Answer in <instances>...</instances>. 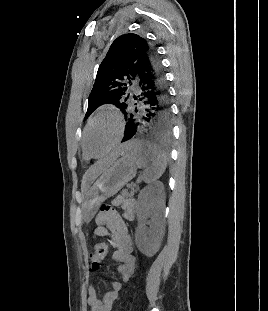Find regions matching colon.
Returning <instances> with one entry per match:
<instances>
[{
	"label": "colon",
	"instance_id": "5ec220e1",
	"mask_svg": "<svg viewBox=\"0 0 268 311\" xmlns=\"http://www.w3.org/2000/svg\"><path fill=\"white\" fill-rule=\"evenodd\" d=\"M108 248H109L108 243L101 242L97 244L93 252L90 253L91 267L94 271L99 269L100 264L106 258L107 253H108Z\"/></svg>",
	"mask_w": 268,
	"mask_h": 311
}]
</instances>
